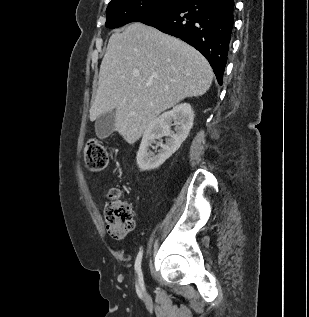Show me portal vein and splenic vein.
<instances>
[{
  "label": "portal vein and splenic vein",
  "instance_id": "1",
  "mask_svg": "<svg viewBox=\"0 0 309 317\" xmlns=\"http://www.w3.org/2000/svg\"><path fill=\"white\" fill-rule=\"evenodd\" d=\"M138 75H139V72H138V71H134V72H133V76L136 77V76H138Z\"/></svg>",
  "mask_w": 309,
  "mask_h": 317
}]
</instances>
